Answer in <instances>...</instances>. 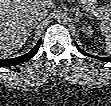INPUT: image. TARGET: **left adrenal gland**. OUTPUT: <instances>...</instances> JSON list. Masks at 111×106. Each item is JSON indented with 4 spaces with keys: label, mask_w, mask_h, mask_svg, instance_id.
I'll list each match as a JSON object with an SVG mask.
<instances>
[{
    "label": "left adrenal gland",
    "mask_w": 111,
    "mask_h": 106,
    "mask_svg": "<svg viewBox=\"0 0 111 106\" xmlns=\"http://www.w3.org/2000/svg\"><path fill=\"white\" fill-rule=\"evenodd\" d=\"M71 10H72V12H74L76 14L77 19H79L83 15L88 16L87 14H84L83 12H81L79 8H72Z\"/></svg>",
    "instance_id": "obj_1"
}]
</instances>
